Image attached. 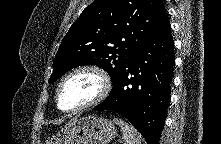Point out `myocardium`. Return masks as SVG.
<instances>
[{"label":"myocardium","mask_w":221,"mask_h":144,"mask_svg":"<svg viewBox=\"0 0 221 144\" xmlns=\"http://www.w3.org/2000/svg\"><path fill=\"white\" fill-rule=\"evenodd\" d=\"M83 72L92 73L98 77L100 81V90L98 94L89 102L84 103L78 107L71 108V109L62 108L60 106L59 98H60V93H61L63 85L74 75L83 73ZM110 90H111V78L109 74L103 68L97 65H82L70 71L66 76H64V78L58 84L56 95H55L56 106L60 111L65 112V113H74V112L83 111L85 109L91 108L101 103L108 96Z\"/></svg>","instance_id":"obj_1"}]
</instances>
